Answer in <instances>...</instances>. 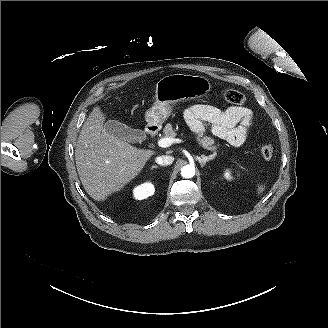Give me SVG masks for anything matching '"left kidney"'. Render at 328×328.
<instances>
[{"instance_id": "5707ae66", "label": "left kidney", "mask_w": 328, "mask_h": 328, "mask_svg": "<svg viewBox=\"0 0 328 328\" xmlns=\"http://www.w3.org/2000/svg\"><path fill=\"white\" fill-rule=\"evenodd\" d=\"M226 176L228 177L229 176V173H226Z\"/></svg>"}]
</instances>
